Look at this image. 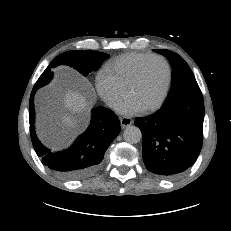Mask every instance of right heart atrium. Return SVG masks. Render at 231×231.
<instances>
[{
	"label": "right heart atrium",
	"mask_w": 231,
	"mask_h": 231,
	"mask_svg": "<svg viewBox=\"0 0 231 231\" xmlns=\"http://www.w3.org/2000/svg\"><path fill=\"white\" fill-rule=\"evenodd\" d=\"M96 88L102 100L111 108L117 107L126 94V90L104 69L96 77Z\"/></svg>",
	"instance_id": "1"
}]
</instances>
